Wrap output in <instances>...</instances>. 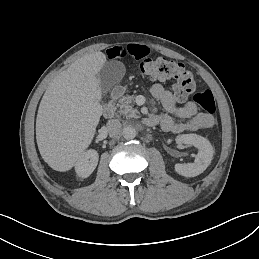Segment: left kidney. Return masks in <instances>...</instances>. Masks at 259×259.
Here are the masks:
<instances>
[{
  "instance_id": "1",
  "label": "left kidney",
  "mask_w": 259,
  "mask_h": 259,
  "mask_svg": "<svg viewBox=\"0 0 259 259\" xmlns=\"http://www.w3.org/2000/svg\"><path fill=\"white\" fill-rule=\"evenodd\" d=\"M178 143H184L199 149L195 160L190 164H176L175 172L183 177H196L203 173L213 159V147L210 142L198 135L188 134L177 138Z\"/></svg>"
}]
</instances>
